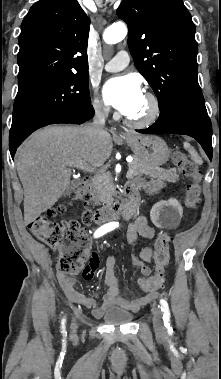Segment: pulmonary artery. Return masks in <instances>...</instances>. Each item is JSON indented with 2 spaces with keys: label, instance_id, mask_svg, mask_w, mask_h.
<instances>
[{
  "label": "pulmonary artery",
  "instance_id": "e3ab8cb5",
  "mask_svg": "<svg viewBox=\"0 0 221 379\" xmlns=\"http://www.w3.org/2000/svg\"><path fill=\"white\" fill-rule=\"evenodd\" d=\"M129 60V54L126 51H119L104 65V69L108 72L121 71L129 64Z\"/></svg>",
  "mask_w": 221,
  "mask_h": 379
}]
</instances>
